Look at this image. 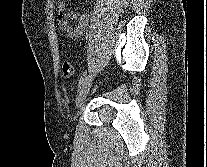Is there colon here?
<instances>
[{"instance_id":"1","label":"colon","mask_w":207,"mask_h":167,"mask_svg":"<svg viewBox=\"0 0 207 167\" xmlns=\"http://www.w3.org/2000/svg\"><path fill=\"white\" fill-rule=\"evenodd\" d=\"M62 73L64 77L70 78L74 73V66L70 60H65L62 63Z\"/></svg>"}]
</instances>
